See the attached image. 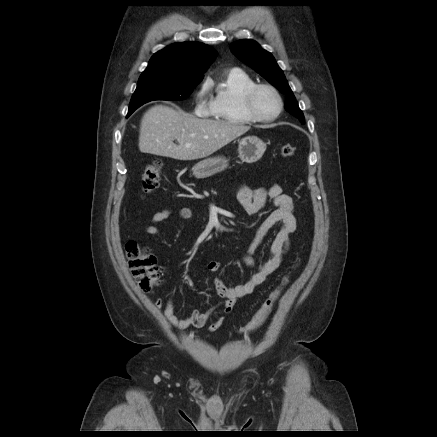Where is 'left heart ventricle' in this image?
I'll use <instances>...</instances> for the list:
<instances>
[{"instance_id":"obj_1","label":"left heart ventricle","mask_w":437,"mask_h":437,"mask_svg":"<svg viewBox=\"0 0 437 437\" xmlns=\"http://www.w3.org/2000/svg\"><path fill=\"white\" fill-rule=\"evenodd\" d=\"M254 105L257 113L264 117L274 115L278 109L275 95L267 89H262L257 93Z\"/></svg>"}]
</instances>
